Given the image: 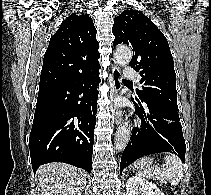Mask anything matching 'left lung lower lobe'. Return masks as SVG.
I'll return each mask as SVG.
<instances>
[{
  "label": "left lung lower lobe",
  "instance_id": "1",
  "mask_svg": "<svg viewBox=\"0 0 211 195\" xmlns=\"http://www.w3.org/2000/svg\"><path fill=\"white\" fill-rule=\"evenodd\" d=\"M135 101L142 126L133 128L121 157L120 174L126 166L149 154L170 152L185 161L186 145L178 112L157 102Z\"/></svg>",
  "mask_w": 211,
  "mask_h": 195
}]
</instances>
